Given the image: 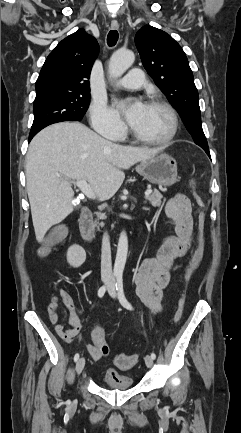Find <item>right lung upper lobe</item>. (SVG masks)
I'll list each match as a JSON object with an SVG mask.
<instances>
[{
  "instance_id": "1",
  "label": "right lung upper lobe",
  "mask_w": 241,
  "mask_h": 433,
  "mask_svg": "<svg viewBox=\"0 0 241 433\" xmlns=\"http://www.w3.org/2000/svg\"><path fill=\"white\" fill-rule=\"evenodd\" d=\"M99 45L83 29L63 39L48 55L36 81V98L89 94V76Z\"/></svg>"
}]
</instances>
